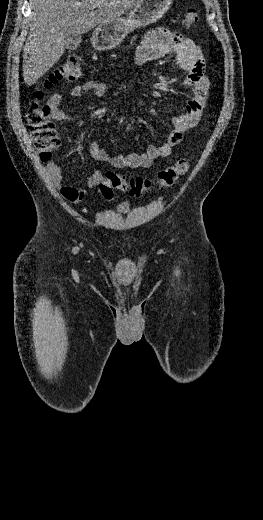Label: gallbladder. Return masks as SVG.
Instances as JSON below:
<instances>
[{
  "label": "gallbladder",
  "mask_w": 263,
  "mask_h": 520,
  "mask_svg": "<svg viewBox=\"0 0 263 520\" xmlns=\"http://www.w3.org/2000/svg\"><path fill=\"white\" fill-rule=\"evenodd\" d=\"M81 43L80 34H68L65 36V47L68 50H76Z\"/></svg>",
  "instance_id": "obj_1"
}]
</instances>
